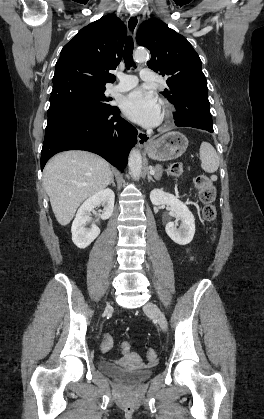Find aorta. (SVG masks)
<instances>
[{"mask_svg": "<svg viewBox=\"0 0 264 419\" xmlns=\"http://www.w3.org/2000/svg\"><path fill=\"white\" fill-rule=\"evenodd\" d=\"M149 54L146 50L138 49L134 53V59L137 62H144L148 60ZM130 173L135 180H138L142 172V157L140 151L137 149L131 150L128 159Z\"/></svg>", "mask_w": 264, "mask_h": 419, "instance_id": "1", "label": "aorta"}]
</instances>
